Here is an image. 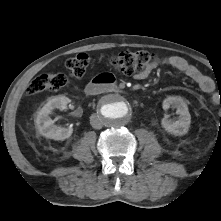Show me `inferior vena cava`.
<instances>
[{
	"label": "inferior vena cava",
	"mask_w": 221,
	"mask_h": 221,
	"mask_svg": "<svg viewBox=\"0 0 221 221\" xmlns=\"http://www.w3.org/2000/svg\"><path fill=\"white\" fill-rule=\"evenodd\" d=\"M90 124L94 129H101L102 128V119L97 114H92L90 116Z\"/></svg>",
	"instance_id": "1"
}]
</instances>
